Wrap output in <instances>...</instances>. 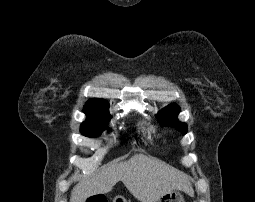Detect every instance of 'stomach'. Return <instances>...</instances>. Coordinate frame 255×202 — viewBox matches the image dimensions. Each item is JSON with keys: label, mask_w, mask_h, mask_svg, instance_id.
I'll list each match as a JSON object with an SVG mask.
<instances>
[{"label": "stomach", "mask_w": 255, "mask_h": 202, "mask_svg": "<svg viewBox=\"0 0 255 202\" xmlns=\"http://www.w3.org/2000/svg\"><path fill=\"white\" fill-rule=\"evenodd\" d=\"M113 202H127V201L124 197L117 196L114 198ZM156 202H185V201L182 191L180 189H172L163 194L160 198H158Z\"/></svg>", "instance_id": "1"}]
</instances>
